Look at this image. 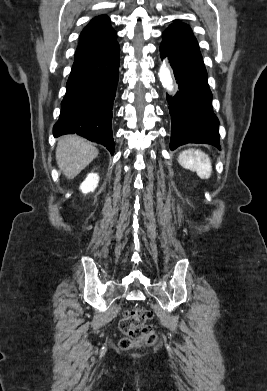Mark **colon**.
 <instances>
[{
    "instance_id": "1",
    "label": "colon",
    "mask_w": 267,
    "mask_h": 391,
    "mask_svg": "<svg viewBox=\"0 0 267 391\" xmlns=\"http://www.w3.org/2000/svg\"><path fill=\"white\" fill-rule=\"evenodd\" d=\"M152 314L143 308H133L129 310L120 320L119 328L125 335L119 347L127 350L135 345H152L157 340V335L152 326L145 322Z\"/></svg>"
}]
</instances>
